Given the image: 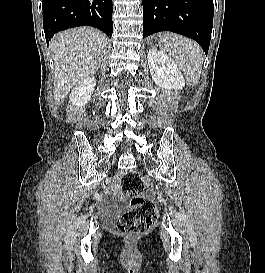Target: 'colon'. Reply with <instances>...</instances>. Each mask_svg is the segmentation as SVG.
<instances>
[{"instance_id":"obj_1","label":"colon","mask_w":265,"mask_h":273,"mask_svg":"<svg viewBox=\"0 0 265 273\" xmlns=\"http://www.w3.org/2000/svg\"><path fill=\"white\" fill-rule=\"evenodd\" d=\"M121 188L130 198V208L120 215L116 230L124 235H141L150 232L156 225L158 211L154 202L141 196L144 189L142 176L137 171L125 172Z\"/></svg>"}]
</instances>
